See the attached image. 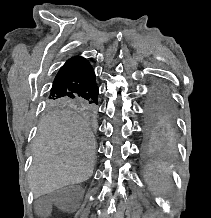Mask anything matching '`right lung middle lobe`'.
Masks as SVG:
<instances>
[{
  "mask_svg": "<svg viewBox=\"0 0 211 218\" xmlns=\"http://www.w3.org/2000/svg\"><path fill=\"white\" fill-rule=\"evenodd\" d=\"M45 105L49 111L82 109L86 112L94 113L97 110L98 103L80 97H48Z\"/></svg>",
  "mask_w": 211,
  "mask_h": 218,
  "instance_id": "dd1d6c3e",
  "label": "right lung middle lobe"
}]
</instances>
